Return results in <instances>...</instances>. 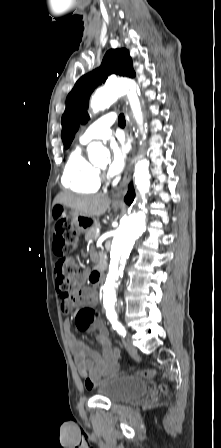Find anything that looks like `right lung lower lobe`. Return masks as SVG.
<instances>
[{
	"label": "right lung lower lobe",
	"mask_w": 221,
	"mask_h": 448,
	"mask_svg": "<svg viewBox=\"0 0 221 448\" xmlns=\"http://www.w3.org/2000/svg\"><path fill=\"white\" fill-rule=\"evenodd\" d=\"M132 195L134 196V191H133L132 185L130 184L129 185V192L127 193V195H126V197L124 199L127 204H131L132 203V201H133V196Z\"/></svg>",
	"instance_id": "98d812e1"
}]
</instances>
